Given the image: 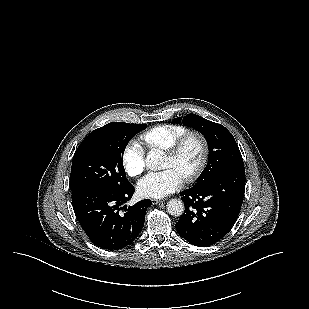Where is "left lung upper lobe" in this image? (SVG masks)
Here are the masks:
<instances>
[{"label":"left lung upper lobe","instance_id":"1","mask_svg":"<svg viewBox=\"0 0 309 309\" xmlns=\"http://www.w3.org/2000/svg\"><path fill=\"white\" fill-rule=\"evenodd\" d=\"M180 122L201 132L208 142V163L195 184L223 170L244 166L238 145L224 126L196 114H188L184 118L178 117L173 120V123Z\"/></svg>","mask_w":309,"mask_h":309}]
</instances>
